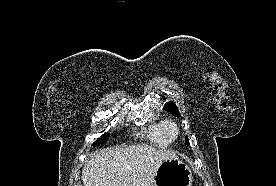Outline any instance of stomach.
Returning a JSON list of instances; mask_svg holds the SVG:
<instances>
[{
  "label": "stomach",
  "mask_w": 276,
  "mask_h": 186,
  "mask_svg": "<svg viewBox=\"0 0 276 186\" xmlns=\"http://www.w3.org/2000/svg\"><path fill=\"white\" fill-rule=\"evenodd\" d=\"M192 173L178 157L169 158L159 166L153 186H192Z\"/></svg>",
  "instance_id": "obj_1"
}]
</instances>
